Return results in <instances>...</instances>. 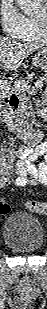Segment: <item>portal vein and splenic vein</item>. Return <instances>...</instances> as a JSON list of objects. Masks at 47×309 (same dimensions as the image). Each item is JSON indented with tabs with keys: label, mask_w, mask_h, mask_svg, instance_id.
Here are the masks:
<instances>
[{
	"label": "portal vein and splenic vein",
	"mask_w": 47,
	"mask_h": 309,
	"mask_svg": "<svg viewBox=\"0 0 47 309\" xmlns=\"http://www.w3.org/2000/svg\"><path fill=\"white\" fill-rule=\"evenodd\" d=\"M15 86L18 87V88H25V89H29V87H30V85L23 80L22 81H16ZM35 86L41 87V86H43V83L42 82H36Z\"/></svg>",
	"instance_id": "obj_1"
}]
</instances>
